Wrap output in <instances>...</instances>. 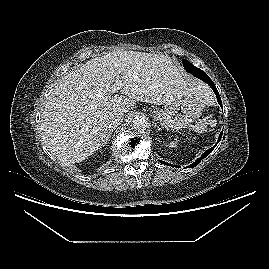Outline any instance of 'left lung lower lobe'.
<instances>
[{"mask_svg": "<svg viewBox=\"0 0 269 269\" xmlns=\"http://www.w3.org/2000/svg\"><path fill=\"white\" fill-rule=\"evenodd\" d=\"M192 75H194L195 77H197V78L201 79L202 81L206 82L213 89L214 93L216 94L217 101L220 104V106L222 107L221 98H220L219 93H218V91L216 89V86L213 83V81L208 77V75L204 71L199 70V69L196 72L192 73ZM222 133L223 132H221L220 135H219L218 142L221 140ZM218 142L212 148L208 149L205 153H203L202 156L200 158H198L194 163H192L189 167L192 168V167H195L196 165H198L201 162L202 159L206 158L207 155H209L214 150V148L216 147ZM160 162L164 163L166 165H170V164H167L166 162H163V161H160Z\"/></svg>", "mask_w": 269, "mask_h": 269, "instance_id": "1", "label": "left lung lower lobe"}]
</instances>
